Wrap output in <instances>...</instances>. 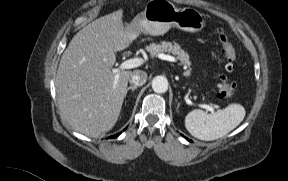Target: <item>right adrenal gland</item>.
Here are the masks:
<instances>
[{"label":"right adrenal gland","mask_w":288,"mask_h":181,"mask_svg":"<svg viewBox=\"0 0 288 181\" xmlns=\"http://www.w3.org/2000/svg\"><path fill=\"white\" fill-rule=\"evenodd\" d=\"M137 88H138L137 86H129V87L126 89L125 94H127V92H128L129 90L135 91Z\"/></svg>","instance_id":"1"}]
</instances>
